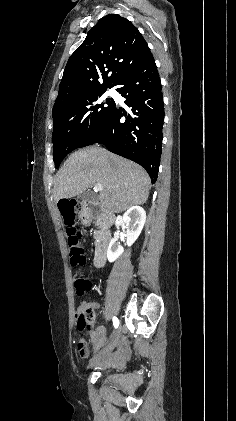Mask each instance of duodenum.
Here are the masks:
<instances>
[{"label":"duodenum","instance_id":"duodenum-1","mask_svg":"<svg viewBox=\"0 0 236 421\" xmlns=\"http://www.w3.org/2000/svg\"><path fill=\"white\" fill-rule=\"evenodd\" d=\"M74 209L78 213L81 222L89 225L93 220L97 219L101 222L102 232L94 250L93 263L96 267H102L107 258L111 235L109 228L114 224L115 217L113 213L100 207L98 202L94 200H81L74 203ZM102 336L99 333L97 341H101ZM127 356V347L121 344L115 356H110L107 360L98 362L105 366L119 365Z\"/></svg>","mask_w":236,"mask_h":421}]
</instances>
